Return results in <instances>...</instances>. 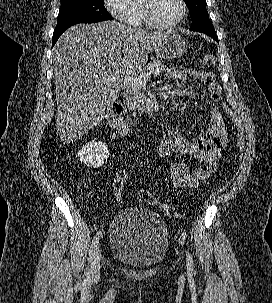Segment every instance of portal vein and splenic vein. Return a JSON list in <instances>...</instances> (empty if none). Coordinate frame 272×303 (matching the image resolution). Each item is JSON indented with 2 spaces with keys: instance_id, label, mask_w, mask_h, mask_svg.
Wrapping results in <instances>:
<instances>
[{
  "instance_id": "1",
  "label": "portal vein and splenic vein",
  "mask_w": 272,
  "mask_h": 303,
  "mask_svg": "<svg viewBox=\"0 0 272 303\" xmlns=\"http://www.w3.org/2000/svg\"><path fill=\"white\" fill-rule=\"evenodd\" d=\"M151 77V73H146L145 75L141 76H124L120 79L121 82L125 83L126 85H131V86H145L149 78ZM107 81L111 80H117L115 77L113 78H104Z\"/></svg>"
}]
</instances>
